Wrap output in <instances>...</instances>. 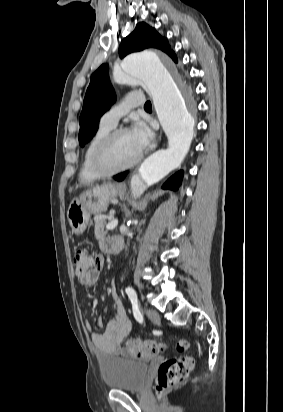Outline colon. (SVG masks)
<instances>
[{
    "label": "colon",
    "mask_w": 283,
    "mask_h": 412,
    "mask_svg": "<svg viewBox=\"0 0 283 412\" xmlns=\"http://www.w3.org/2000/svg\"><path fill=\"white\" fill-rule=\"evenodd\" d=\"M74 272L76 277L83 280L96 266L101 263L99 255H92L85 249H80L73 256ZM166 347L161 341L133 339L127 343V352L134 358H148L160 354ZM190 347L187 340L177 343L179 351H185ZM192 356L169 358L159 367L157 375V390L162 394L166 389L173 387L187 378L194 366Z\"/></svg>",
    "instance_id": "obj_1"
}]
</instances>
